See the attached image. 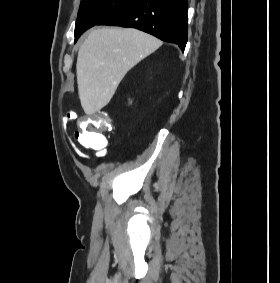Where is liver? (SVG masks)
Here are the masks:
<instances>
[{
  "instance_id": "1",
  "label": "liver",
  "mask_w": 280,
  "mask_h": 283,
  "mask_svg": "<svg viewBox=\"0 0 280 283\" xmlns=\"http://www.w3.org/2000/svg\"><path fill=\"white\" fill-rule=\"evenodd\" d=\"M160 45L158 39L136 29L92 30L79 49L76 64L84 112L91 115L105 107L125 74Z\"/></svg>"
}]
</instances>
